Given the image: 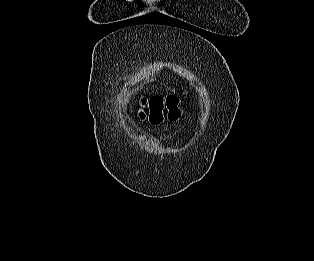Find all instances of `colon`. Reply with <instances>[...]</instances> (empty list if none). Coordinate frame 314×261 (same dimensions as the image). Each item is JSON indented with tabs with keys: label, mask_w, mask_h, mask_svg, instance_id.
<instances>
[{
	"label": "colon",
	"mask_w": 314,
	"mask_h": 261,
	"mask_svg": "<svg viewBox=\"0 0 314 261\" xmlns=\"http://www.w3.org/2000/svg\"><path fill=\"white\" fill-rule=\"evenodd\" d=\"M150 110L149 119L153 124H159L163 120L162 111L164 107L169 110V119L174 120L178 117L177 110L178 97L175 94H170L166 98L155 95L146 101Z\"/></svg>",
	"instance_id": "1"
}]
</instances>
